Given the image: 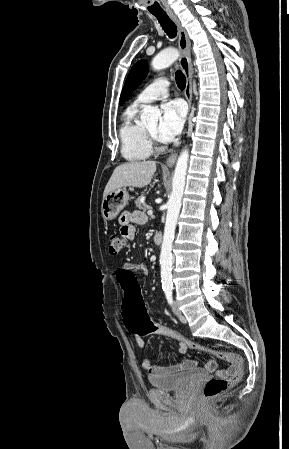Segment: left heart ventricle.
Listing matches in <instances>:
<instances>
[{"label":"left heart ventricle","mask_w":289,"mask_h":449,"mask_svg":"<svg viewBox=\"0 0 289 449\" xmlns=\"http://www.w3.org/2000/svg\"><path fill=\"white\" fill-rule=\"evenodd\" d=\"M147 129L154 135V136H156L157 138H158V134H157V131H158V123L157 122H155V123H153V124H151V125H148L147 126ZM159 139V138H158Z\"/></svg>","instance_id":"left-heart-ventricle-1"}]
</instances>
